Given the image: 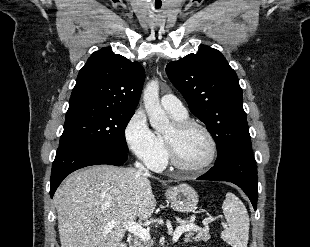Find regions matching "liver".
<instances>
[{
    "instance_id": "6515ba94",
    "label": "liver",
    "mask_w": 310,
    "mask_h": 247,
    "mask_svg": "<svg viewBox=\"0 0 310 247\" xmlns=\"http://www.w3.org/2000/svg\"><path fill=\"white\" fill-rule=\"evenodd\" d=\"M148 176L110 165L70 175L54 195L61 247H117L126 232L124 224L147 220L155 210ZM113 220L118 224L106 231Z\"/></svg>"
}]
</instances>
